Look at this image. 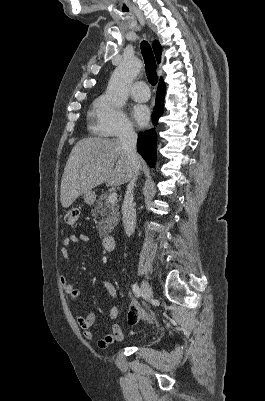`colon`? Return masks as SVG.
Segmentation results:
<instances>
[{"mask_svg":"<svg viewBox=\"0 0 265 401\" xmlns=\"http://www.w3.org/2000/svg\"><path fill=\"white\" fill-rule=\"evenodd\" d=\"M78 219V211L75 209L69 210L65 215V222L68 225H75ZM129 322L135 325L139 320V313L132 311L128 316ZM147 319L151 320V315H147Z\"/></svg>","mask_w":265,"mask_h":401,"instance_id":"5ec220e1","label":"colon"}]
</instances>
